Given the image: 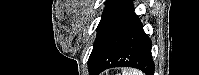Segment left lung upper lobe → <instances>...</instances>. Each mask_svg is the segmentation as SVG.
Here are the masks:
<instances>
[{
  "label": "left lung upper lobe",
  "mask_w": 199,
  "mask_h": 75,
  "mask_svg": "<svg viewBox=\"0 0 199 75\" xmlns=\"http://www.w3.org/2000/svg\"><path fill=\"white\" fill-rule=\"evenodd\" d=\"M122 0H107L106 1V7L104 9V12H103V15H102V18L100 20V23L97 27V37L95 39V43H94V47L93 49L95 48L96 46V43L99 39V36L105 26V24L107 23V21L109 20L110 16L114 13V11L116 10V8L119 6L120 2ZM93 51V50H92Z\"/></svg>",
  "instance_id": "left-lung-upper-lobe-1"
}]
</instances>
